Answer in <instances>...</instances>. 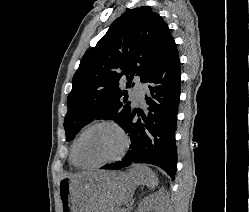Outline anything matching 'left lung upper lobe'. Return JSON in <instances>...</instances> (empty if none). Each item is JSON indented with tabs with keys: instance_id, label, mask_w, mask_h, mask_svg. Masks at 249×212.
<instances>
[{
	"instance_id": "5c2ea615",
	"label": "left lung upper lobe",
	"mask_w": 249,
	"mask_h": 212,
	"mask_svg": "<svg viewBox=\"0 0 249 212\" xmlns=\"http://www.w3.org/2000/svg\"><path fill=\"white\" fill-rule=\"evenodd\" d=\"M173 40L167 24L150 7L129 9L117 18L84 54L72 79L64 121L66 141L95 119H112L121 126L131 107L119 81L126 77L129 89L135 75L142 81Z\"/></svg>"
}]
</instances>
